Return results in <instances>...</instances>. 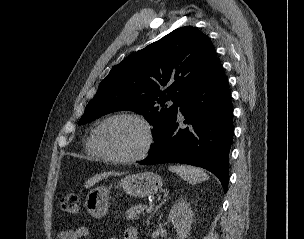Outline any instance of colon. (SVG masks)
I'll return each instance as SVG.
<instances>
[{
  "instance_id": "5ec220e1",
  "label": "colon",
  "mask_w": 304,
  "mask_h": 239,
  "mask_svg": "<svg viewBox=\"0 0 304 239\" xmlns=\"http://www.w3.org/2000/svg\"><path fill=\"white\" fill-rule=\"evenodd\" d=\"M60 208L65 213L75 215L80 210V198L76 194H68L61 198Z\"/></svg>"
}]
</instances>
